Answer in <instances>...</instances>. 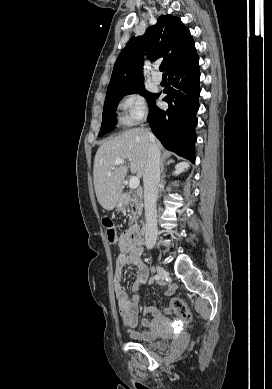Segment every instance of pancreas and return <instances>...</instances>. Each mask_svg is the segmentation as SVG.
Segmentation results:
<instances>
[{"mask_svg":"<svg viewBox=\"0 0 272 389\" xmlns=\"http://www.w3.org/2000/svg\"><path fill=\"white\" fill-rule=\"evenodd\" d=\"M129 202L127 203L128 208L135 207V211L130 213V223L131 227H135L139 216L142 214L143 203L142 199L134 192H129L128 194ZM135 224V225H133Z\"/></svg>","mask_w":272,"mask_h":389,"instance_id":"cf45deb5","label":"pancreas"}]
</instances>
